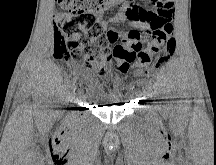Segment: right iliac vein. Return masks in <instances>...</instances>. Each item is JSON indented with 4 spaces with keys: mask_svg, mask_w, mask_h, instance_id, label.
<instances>
[{
    "mask_svg": "<svg viewBox=\"0 0 216 165\" xmlns=\"http://www.w3.org/2000/svg\"><path fill=\"white\" fill-rule=\"evenodd\" d=\"M77 97L74 95L73 96V100L69 103L71 106L72 105H77V99H76Z\"/></svg>",
    "mask_w": 216,
    "mask_h": 165,
    "instance_id": "obj_1",
    "label": "right iliac vein"
}]
</instances>
